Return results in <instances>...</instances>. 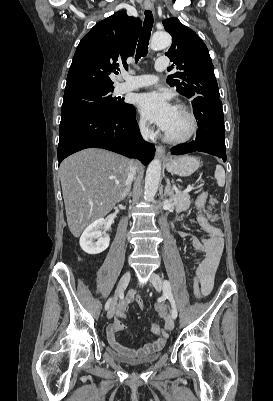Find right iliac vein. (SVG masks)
Here are the masks:
<instances>
[{
  "mask_svg": "<svg viewBox=\"0 0 273 401\" xmlns=\"http://www.w3.org/2000/svg\"><path fill=\"white\" fill-rule=\"evenodd\" d=\"M129 281H130V272L126 271L118 283L113 301L108 309V312H107L108 319H111L113 317V315L115 314L117 300H118L119 296L121 295L122 291L127 287Z\"/></svg>",
  "mask_w": 273,
  "mask_h": 401,
  "instance_id": "63e3f726",
  "label": "right iliac vein"
}]
</instances>
